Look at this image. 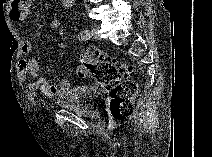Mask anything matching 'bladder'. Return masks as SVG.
I'll return each instance as SVG.
<instances>
[{
	"label": "bladder",
	"instance_id": "obj_1",
	"mask_svg": "<svg viewBox=\"0 0 212 157\" xmlns=\"http://www.w3.org/2000/svg\"><path fill=\"white\" fill-rule=\"evenodd\" d=\"M104 98L102 89L96 86H83L69 90L56 102L57 107L71 109L95 119L99 117V104Z\"/></svg>",
	"mask_w": 212,
	"mask_h": 157
}]
</instances>
